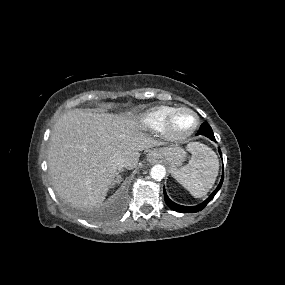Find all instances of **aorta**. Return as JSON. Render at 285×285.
<instances>
[{
  "mask_svg": "<svg viewBox=\"0 0 285 285\" xmlns=\"http://www.w3.org/2000/svg\"><path fill=\"white\" fill-rule=\"evenodd\" d=\"M150 175L154 180H162L166 175V169L163 165H155L152 167Z\"/></svg>",
  "mask_w": 285,
  "mask_h": 285,
  "instance_id": "762f6f07",
  "label": "aorta"
}]
</instances>
